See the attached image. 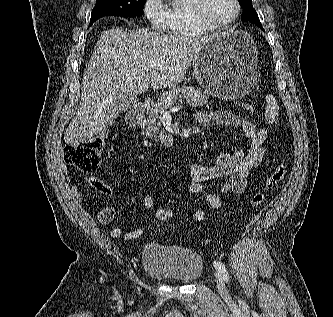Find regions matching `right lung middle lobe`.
Listing matches in <instances>:
<instances>
[{"mask_svg": "<svg viewBox=\"0 0 333 317\" xmlns=\"http://www.w3.org/2000/svg\"><path fill=\"white\" fill-rule=\"evenodd\" d=\"M145 0H97L91 13L90 25L104 16H141Z\"/></svg>", "mask_w": 333, "mask_h": 317, "instance_id": "right-lung-middle-lobe-1", "label": "right lung middle lobe"}]
</instances>
